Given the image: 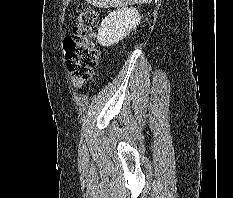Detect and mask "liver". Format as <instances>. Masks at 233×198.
Returning a JSON list of instances; mask_svg holds the SVG:
<instances>
[{
  "label": "liver",
  "instance_id": "1",
  "mask_svg": "<svg viewBox=\"0 0 233 198\" xmlns=\"http://www.w3.org/2000/svg\"><path fill=\"white\" fill-rule=\"evenodd\" d=\"M86 2L98 8L124 7L127 5L147 4L152 0H86Z\"/></svg>",
  "mask_w": 233,
  "mask_h": 198
}]
</instances>
